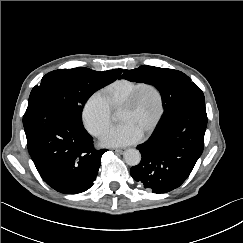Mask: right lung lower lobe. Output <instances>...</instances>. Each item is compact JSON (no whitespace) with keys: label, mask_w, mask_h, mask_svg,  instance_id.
<instances>
[{"label":"right lung lower lobe","mask_w":243,"mask_h":243,"mask_svg":"<svg viewBox=\"0 0 243 243\" xmlns=\"http://www.w3.org/2000/svg\"><path fill=\"white\" fill-rule=\"evenodd\" d=\"M30 156L42 179L63 194L92 185L107 151L96 150L93 138L65 108L52 102H28L23 117Z\"/></svg>","instance_id":"1"}]
</instances>
